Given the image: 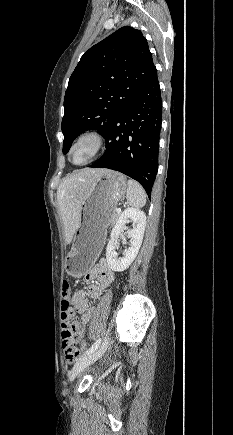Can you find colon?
<instances>
[{"label": "colon", "mask_w": 233, "mask_h": 435, "mask_svg": "<svg viewBox=\"0 0 233 435\" xmlns=\"http://www.w3.org/2000/svg\"><path fill=\"white\" fill-rule=\"evenodd\" d=\"M70 296L71 285L68 281L64 280L61 286V308L63 312L67 315L72 314ZM63 349L67 361H73L79 355V348L76 344L74 338V330L72 328H67L63 330Z\"/></svg>", "instance_id": "5ec220e1"}]
</instances>
